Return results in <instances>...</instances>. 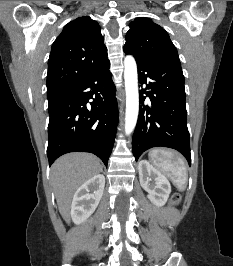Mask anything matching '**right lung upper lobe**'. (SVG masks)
I'll return each mask as SVG.
<instances>
[{
  "label": "right lung upper lobe",
  "mask_w": 233,
  "mask_h": 266,
  "mask_svg": "<svg viewBox=\"0 0 233 266\" xmlns=\"http://www.w3.org/2000/svg\"><path fill=\"white\" fill-rule=\"evenodd\" d=\"M109 62L99 24L88 16L68 23L52 45L47 93L61 92Z\"/></svg>",
  "instance_id": "1"
}]
</instances>
